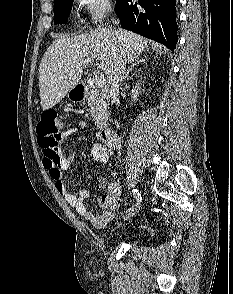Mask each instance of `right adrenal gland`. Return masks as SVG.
I'll list each match as a JSON object with an SVG mask.
<instances>
[{"label": "right adrenal gland", "instance_id": "1", "mask_svg": "<svg viewBox=\"0 0 233 294\" xmlns=\"http://www.w3.org/2000/svg\"><path fill=\"white\" fill-rule=\"evenodd\" d=\"M139 63H145V59L137 58L135 61H133L131 67L128 68V70L124 76V80L128 79V75H129L130 71H132V69Z\"/></svg>", "mask_w": 233, "mask_h": 294}]
</instances>
